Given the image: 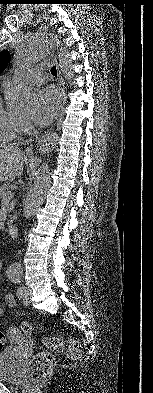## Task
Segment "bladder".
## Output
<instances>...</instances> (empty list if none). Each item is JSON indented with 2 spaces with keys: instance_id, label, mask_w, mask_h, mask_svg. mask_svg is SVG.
<instances>
[{
  "instance_id": "bladder-1",
  "label": "bladder",
  "mask_w": 153,
  "mask_h": 393,
  "mask_svg": "<svg viewBox=\"0 0 153 393\" xmlns=\"http://www.w3.org/2000/svg\"><path fill=\"white\" fill-rule=\"evenodd\" d=\"M21 376L22 367L16 360L15 350L11 347L0 350V381L17 384Z\"/></svg>"
}]
</instances>
